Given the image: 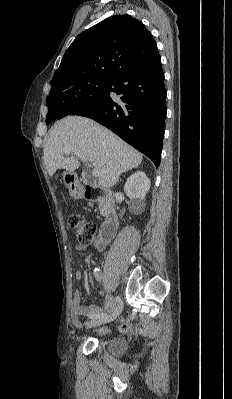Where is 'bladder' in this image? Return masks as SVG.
<instances>
[{"instance_id":"bladder-1","label":"bladder","mask_w":232,"mask_h":399,"mask_svg":"<svg viewBox=\"0 0 232 399\" xmlns=\"http://www.w3.org/2000/svg\"><path fill=\"white\" fill-rule=\"evenodd\" d=\"M104 349L107 355L111 357H119L125 353L127 342L124 339L118 338L106 344Z\"/></svg>"}]
</instances>
